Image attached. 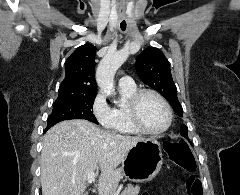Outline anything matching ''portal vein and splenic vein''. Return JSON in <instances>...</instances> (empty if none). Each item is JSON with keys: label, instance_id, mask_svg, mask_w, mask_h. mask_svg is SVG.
<instances>
[{"label": "portal vein and splenic vein", "instance_id": "18ae733b", "mask_svg": "<svg viewBox=\"0 0 240 195\" xmlns=\"http://www.w3.org/2000/svg\"><path fill=\"white\" fill-rule=\"evenodd\" d=\"M92 181H93V175H92V177H89L87 183H92Z\"/></svg>", "mask_w": 240, "mask_h": 195}]
</instances>
